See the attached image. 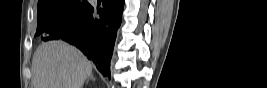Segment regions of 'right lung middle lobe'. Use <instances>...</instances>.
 <instances>
[{"label": "right lung middle lobe", "instance_id": "dd1d6c3e", "mask_svg": "<svg viewBox=\"0 0 267 88\" xmlns=\"http://www.w3.org/2000/svg\"><path fill=\"white\" fill-rule=\"evenodd\" d=\"M89 5L86 0H39L35 36L51 40L61 25L75 21Z\"/></svg>", "mask_w": 267, "mask_h": 88}]
</instances>
